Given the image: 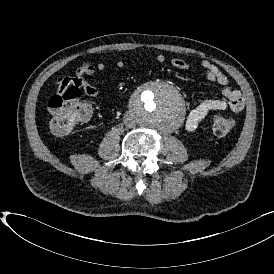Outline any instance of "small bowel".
<instances>
[{"label":"small bowel","instance_id":"c3829d8e","mask_svg":"<svg viewBox=\"0 0 274 274\" xmlns=\"http://www.w3.org/2000/svg\"><path fill=\"white\" fill-rule=\"evenodd\" d=\"M155 61L158 64L168 62L170 65L178 69L191 68L189 62L178 58L168 59L163 54H158L155 57ZM200 65L209 81L223 86V97L206 99L189 112L185 121V129L190 133L197 130L199 124L210 112L228 110L232 113H238L241 112L245 106V101L241 92L229 86L228 77L214 63L208 60H203ZM125 66L126 63L123 60H118L116 62V67L118 69H124ZM106 69L107 66L104 62H99L97 64L89 61L83 62L78 67L73 77H60L57 79L55 82V87L57 89L54 91V97L56 99H61L63 97V91L70 87L81 90L89 97H98L100 95L99 89L88 82L85 77L93 76L96 73L105 71Z\"/></svg>","mask_w":274,"mask_h":274}]
</instances>
